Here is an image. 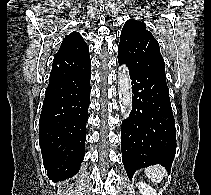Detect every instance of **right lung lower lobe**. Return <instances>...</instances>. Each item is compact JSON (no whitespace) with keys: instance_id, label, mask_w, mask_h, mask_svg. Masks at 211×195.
Listing matches in <instances>:
<instances>
[{"instance_id":"right-lung-lower-lobe-1","label":"right lung lower lobe","mask_w":211,"mask_h":195,"mask_svg":"<svg viewBox=\"0 0 211 195\" xmlns=\"http://www.w3.org/2000/svg\"><path fill=\"white\" fill-rule=\"evenodd\" d=\"M91 63L49 79L39 120V144L50 179L71 178L84 159Z\"/></svg>"}]
</instances>
